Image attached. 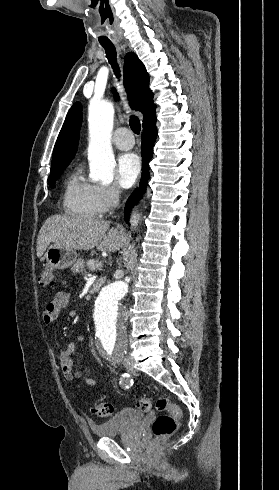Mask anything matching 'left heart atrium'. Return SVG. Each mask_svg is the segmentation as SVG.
<instances>
[{
  "label": "left heart atrium",
  "instance_id": "1",
  "mask_svg": "<svg viewBox=\"0 0 279 490\" xmlns=\"http://www.w3.org/2000/svg\"><path fill=\"white\" fill-rule=\"evenodd\" d=\"M141 173V161L134 153L123 154L118 160L117 177L124 188L131 187Z\"/></svg>",
  "mask_w": 279,
  "mask_h": 490
}]
</instances>
